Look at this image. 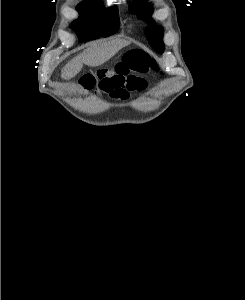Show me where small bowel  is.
<instances>
[{
    "label": "small bowel",
    "mask_w": 245,
    "mask_h": 300,
    "mask_svg": "<svg viewBox=\"0 0 245 300\" xmlns=\"http://www.w3.org/2000/svg\"><path fill=\"white\" fill-rule=\"evenodd\" d=\"M147 83L143 78H124L114 73L104 74L97 84L99 93L107 95L111 100L127 101L132 92L145 90Z\"/></svg>",
    "instance_id": "c3829d8e"
}]
</instances>
